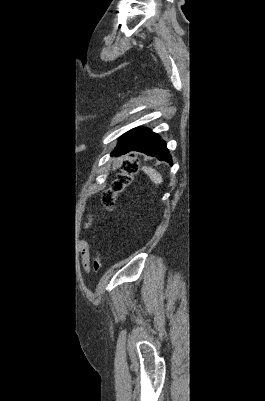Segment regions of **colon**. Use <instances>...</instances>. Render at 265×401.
I'll list each match as a JSON object with an SVG mask.
<instances>
[{
	"mask_svg": "<svg viewBox=\"0 0 265 401\" xmlns=\"http://www.w3.org/2000/svg\"><path fill=\"white\" fill-rule=\"evenodd\" d=\"M138 170L139 166L135 156H130L129 159L124 161L121 171L101 196V203L106 210L112 211L115 208L119 194L132 183ZM101 268V258L97 255L93 260V270L98 272Z\"/></svg>",
	"mask_w": 265,
	"mask_h": 401,
	"instance_id": "colon-1",
	"label": "colon"
}]
</instances>
